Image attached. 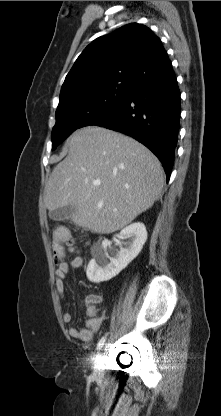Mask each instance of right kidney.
I'll return each instance as SVG.
<instances>
[{
  "mask_svg": "<svg viewBox=\"0 0 221 416\" xmlns=\"http://www.w3.org/2000/svg\"><path fill=\"white\" fill-rule=\"evenodd\" d=\"M118 238H130L131 242L120 249L116 258L109 257L106 248L101 247L98 255L91 259L87 266L86 275L91 282L108 281L126 268L137 257L147 240L146 227L140 222L132 223L120 232Z\"/></svg>",
  "mask_w": 221,
  "mask_h": 416,
  "instance_id": "ca27d5eb",
  "label": "right kidney"
}]
</instances>
